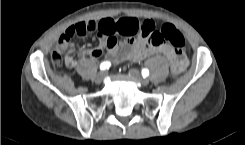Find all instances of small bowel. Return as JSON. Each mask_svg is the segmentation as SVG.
Returning <instances> with one entry per match:
<instances>
[{"label": "small bowel", "mask_w": 245, "mask_h": 145, "mask_svg": "<svg viewBox=\"0 0 245 145\" xmlns=\"http://www.w3.org/2000/svg\"><path fill=\"white\" fill-rule=\"evenodd\" d=\"M88 25L91 32L98 33L101 38L98 46L88 49H77L73 42H67L65 45V64L68 68H74L78 59L91 56L98 57L103 53L107 58L114 62L130 61L140 62L146 58L152 57L158 53L166 56L171 62H177L181 68L186 67L188 59L185 51H176L165 45L154 46L142 40H121L114 37L116 33H124L129 25H135L141 29L144 24H155L151 20H140L133 17L121 19L100 18L90 19L83 22Z\"/></svg>", "instance_id": "c3829d8e"}]
</instances>
